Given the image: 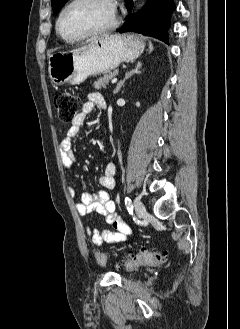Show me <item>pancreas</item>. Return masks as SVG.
<instances>
[{"mask_svg":"<svg viewBox=\"0 0 240 329\" xmlns=\"http://www.w3.org/2000/svg\"><path fill=\"white\" fill-rule=\"evenodd\" d=\"M118 74V71H113L110 73L105 74L103 77H99L94 82V88L96 90H100L101 88H106V85H108L109 81L113 79Z\"/></svg>","mask_w":240,"mask_h":329,"instance_id":"pancreas-1","label":"pancreas"}]
</instances>
